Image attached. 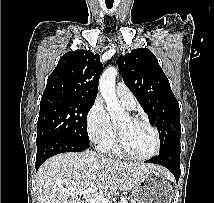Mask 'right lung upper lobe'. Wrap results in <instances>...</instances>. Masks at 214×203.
<instances>
[{"label": "right lung upper lobe", "mask_w": 214, "mask_h": 203, "mask_svg": "<svg viewBox=\"0 0 214 203\" xmlns=\"http://www.w3.org/2000/svg\"><path fill=\"white\" fill-rule=\"evenodd\" d=\"M103 65L100 56L87 50L64 54L47 79L41 99L62 97L95 100Z\"/></svg>", "instance_id": "obj_1"}]
</instances>
